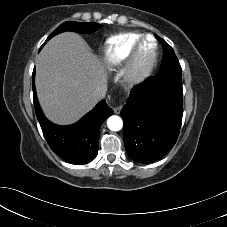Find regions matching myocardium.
Masks as SVG:
<instances>
[{"label":"myocardium","instance_id":"1","mask_svg":"<svg viewBox=\"0 0 227 227\" xmlns=\"http://www.w3.org/2000/svg\"><path fill=\"white\" fill-rule=\"evenodd\" d=\"M151 40L153 51L149 60L145 64H140L139 57L144 44ZM159 57V46L156 38L147 34L142 36L133 47L123 71V80L127 85H136L147 79L156 67Z\"/></svg>","mask_w":227,"mask_h":227}]
</instances>
